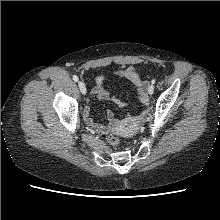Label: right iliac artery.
<instances>
[{
  "label": "right iliac artery",
  "mask_w": 220,
  "mask_h": 220,
  "mask_svg": "<svg viewBox=\"0 0 220 220\" xmlns=\"http://www.w3.org/2000/svg\"><path fill=\"white\" fill-rule=\"evenodd\" d=\"M73 80H74L75 82H77V81H78V77H77L76 75H73Z\"/></svg>",
  "instance_id": "1"
}]
</instances>
